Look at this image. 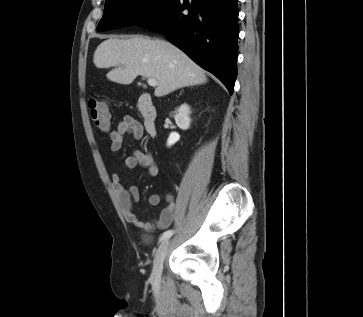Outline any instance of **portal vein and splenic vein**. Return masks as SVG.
Masks as SVG:
<instances>
[{
	"label": "portal vein and splenic vein",
	"instance_id": "portal-vein-and-splenic-vein-1",
	"mask_svg": "<svg viewBox=\"0 0 363 317\" xmlns=\"http://www.w3.org/2000/svg\"><path fill=\"white\" fill-rule=\"evenodd\" d=\"M147 83H148L150 86H152V87L157 86V81H156L155 79H153V78H149V79L147 80Z\"/></svg>",
	"mask_w": 363,
	"mask_h": 317
}]
</instances>
